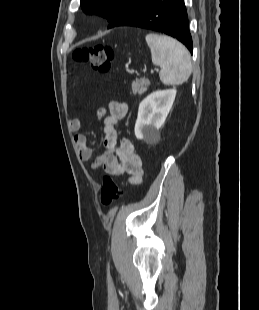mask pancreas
<instances>
[{
  "label": "pancreas",
  "instance_id": "cf45deb5",
  "mask_svg": "<svg viewBox=\"0 0 259 310\" xmlns=\"http://www.w3.org/2000/svg\"><path fill=\"white\" fill-rule=\"evenodd\" d=\"M148 85L149 81L147 79H136L132 82V94L141 96L147 91Z\"/></svg>",
  "mask_w": 259,
  "mask_h": 310
}]
</instances>
